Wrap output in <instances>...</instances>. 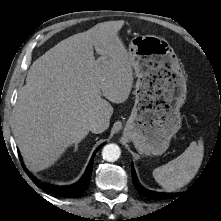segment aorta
<instances>
[{"instance_id": "762f6f07", "label": "aorta", "mask_w": 221, "mask_h": 221, "mask_svg": "<svg viewBox=\"0 0 221 221\" xmlns=\"http://www.w3.org/2000/svg\"><path fill=\"white\" fill-rule=\"evenodd\" d=\"M120 154V148L116 144H108L102 150L103 159L108 162H114L118 160Z\"/></svg>"}]
</instances>
